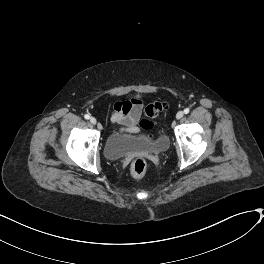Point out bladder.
Here are the masks:
<instances>
[{
    "label": "bladder",
    "mask_w": 264,
    "mask_h": 264,
    "mask_svg": "<svg viewBox=\"0 0 264 264\" xmlns=\"http://www.w3.org/2000/svg\"><path fill=\"white\" fill-rule=\"evenodd\" d=\"M169 138L165 133L158 136L115 132L109 135L104 144V154L109 161H116L133 154L155 155L165 152Z\"/></svg>",
    "instance_id": "bladder-1"
}]
</instances>
